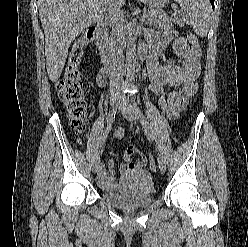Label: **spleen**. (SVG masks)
Masks as SVG:
<instances>
[{"label": "spleen", "mask_w": 248, "mask_h": 247, "mask_svg": "<svg viewBox=\"0 0 248 247\" xmlns=\"http://www.w3.org/2000/svg\"><path fill=\"white\" fill-rule=\"evenodd\" d=\"M182 8L181 20L190 25L200 37H206L211 21L209 0H174Z\"/></svg>", "instance_id": "3e777b00"}]
</instances>
